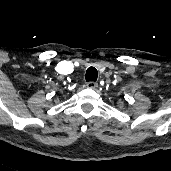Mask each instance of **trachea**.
Segmentation results:
<instances>
[{"mask_svg":"<svg viewBox=\"0 0 171 171\" xmlns=\"http://www.w3.org/2000/svg\"><path fill=\"white\" fill-rule=\"evenodd\" d=\"M97 77H98V71L96 68L94 67H89L87 70H86V75H85V78H86V81L89 82V81H96L97 80Z\"/></svg>","mask_w":171,"mask_h":171,"instance_id":"obj_1","label":"trachea"}]
</instances>
